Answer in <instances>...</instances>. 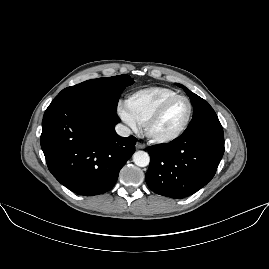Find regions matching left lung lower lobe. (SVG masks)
Instances as JSON below:
<instances>
[{
  "instance_id": "left-lung-lower-lobe-1",
  "label": "left lung lower lobe",
  "mask_w": 269,
  "mask_h": 269,
  "mask_svg": "<svg viewBox=\"0 0 269 269\" xmlns=\"http://www.w3.org/2000/svg\"><path fill=\"white\" fill-rule=\"evenodd\" d=\"M148 152V187L159 195L182 199L197 192L215 175L224 154L223 128L181 135L169 143L148 147Z\"/></svg>"
}]
</instances>
